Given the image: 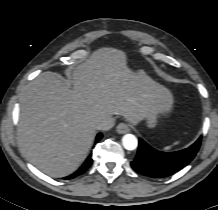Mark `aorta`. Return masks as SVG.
I'll return each mask as SVG.
<instances>
[{
  "label": "aorta",
  "instance_id": "obj_1",
  "mask_svg": "<svg viewBox=\"0 0 218 210\" xmlns=\"http://www.w3.org/2000/svg\"><path fill=\"white\" fill-rule=\"evenodd\" d=\"M122 144L127 150H135L138 146V140L133 134H126L122 138Z\"/></svg>",
  "mask_w": 218,
  "mask_h": 210
}]
</instances>
